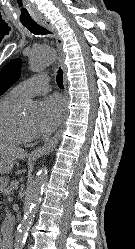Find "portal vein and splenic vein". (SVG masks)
I'll return each instance as SVG.
<instances>
[{
    "label": "portal vein and splenic vein",
    "mask_w": 135,
    "mask_h": 249,
    "mask_svg": "<svg viewBox=\"0 0 135 249\" xmlns=\"http://www.w3.org/2000/svg\"><path fill=\"white\" fill-rule=\"evenodd\" d=\"M12 199V197H9V200H11Z\"/></svg>",
    "instance_id": "portal-vein-and-splenic-vein-1"
}]
</instances>
